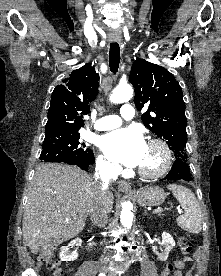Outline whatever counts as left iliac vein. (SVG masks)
<instances>
[{
	"label": "left iliac vein",
	"mask_w": 221,
	"mask_h": 276,
	"mask_svg": "<svg viewBox=\"0 0 221 276\" xmlns=\"http://www.w3.org/2000/svg\"><path fill=\"white\" fill-rule=\"evenodd\" d=\"M109 276H116L115 274H109Z\"/></svg>",
	"instance_id": "left-iliac-vein-1"
}]
</instances>
